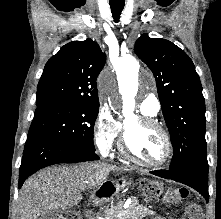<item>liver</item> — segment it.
I'll use <instances>...</instances> for the list:
<instances>
[{
    "label": "liver",
    "mask_w": 221,
    "mask_h": 219,
    "mask_svg": "<svg viewBox=\"0 0 221 219\" xmlns=\"http://www.w3.org/2000/svg\"><path fill=\"white\" fill-rule=\"evenodd\" d=\"M119 167L106 163L54 166L28 178L19 192V219H42L49 210L65 211L82 200L81 192L99 187Z\"/></svg>",
    "instance_id": "1"
}]
</instances>
